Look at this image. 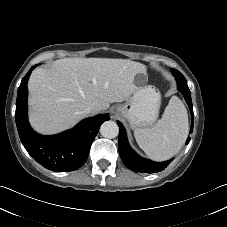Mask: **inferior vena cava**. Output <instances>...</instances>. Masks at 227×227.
Wrapping results in <instances>:
<instances>
[{
  "label": "inferior vena cava",
  "instance_id": "obj_1",
  "mask_svg": "<svg viewBox=\"0 0 227 227\" xmlns=\"http://www.w3.org/2000/svg\"><path fill=\"white\" fill-rule=\"evenodd\" d=\"M84 113L85 114H94L95 113V109L91 106H88L84 109Z\"/></svg>",
  "mask_w": 227,
  "mask_h": 227
}]
</instances>
